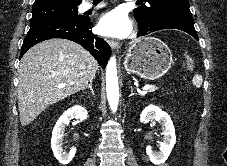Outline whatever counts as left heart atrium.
Here are the masks:
<instances>
[{
	"instance_id": "obj_1",
	"label": "left heart atrium",
	"mask_w": 227,
	"mask_h": 166,
	"mask_svg": "<svg viewBox=\"0 0 227 166\" xmlns=\"http://www.w3.org/2000/svg\"><path fill=\"white\" fill-rule=\"evenodd\" d=\"M131 22L121 10H113L101 17L98 23L100 34L109 37H121L129 33Z\"/></svg>"
}]
</instances>
